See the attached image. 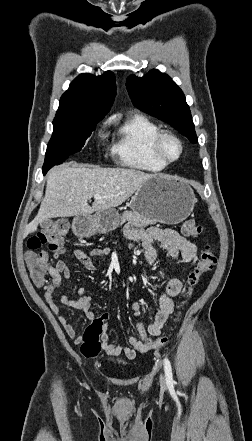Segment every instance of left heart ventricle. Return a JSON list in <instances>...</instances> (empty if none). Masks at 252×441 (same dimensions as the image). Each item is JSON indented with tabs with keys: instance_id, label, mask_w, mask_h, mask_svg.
I'll list each match as a JSON object with an SVG mask.
<instances>
[{
	"instance_id": "obj_1",
	"label": "left heart ventricle",
	"mask_w": 252,
	"mask_h": 441,
	"mask_svg": "<svg viewBox=\"0 0 252 441\" xmlns=\"http://www.w3.org/2000/svg\"><path fill=\"white\" fill-rule=\"evenodd\" d=\"M162 152L166 158L173 159L179 154V145L171 139H166L162 144Z\"/></svg>"
}]
</instances>
